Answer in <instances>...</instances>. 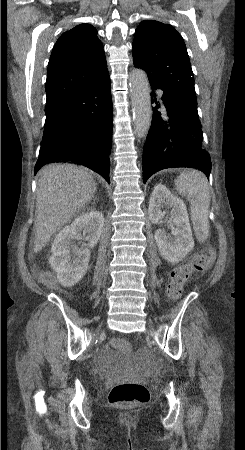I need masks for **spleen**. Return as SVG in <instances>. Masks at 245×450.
Segmentation results:
<instances>
[{
  "mask_svg": "<svg viewBox=\"0 0 245 450\" xmlns=\"http://www.w3.org/2000/svg\"><path fill=\"white\" fill-rule=\"evenodd\" d=\"M176 190L191 205V220L196 237L203 242L209 234L210 191L206 177L199 171L181 173L175 180Z\"/></svg>",
  "mask_w": 245,
  "mask_h": 450,
  "instance_id": "spleen-1",
  "label": "spleen"
}]
</instances>
